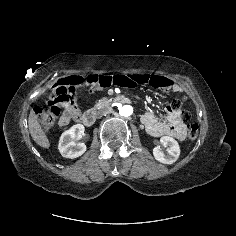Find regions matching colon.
<instances>
[{
  "label": "colon",
  "mask_w": 236,
  "mask_h": 236,
  "mask_svg": "<svg viewBox=\"0 0 236 236\" xmlns=\"http://www.w3.org/2000/svg\"><path fill=\"white\" fill-rule=\"evenodd\" d=\"M82 87L83 83L75 78L64 79L56 85L47 106L36 107L35 113L46 131L51 130L56 125L60 116L61 105L72 103L77 98L78 90ZM171 107L176 111H181L184 120H190V108L183 101L175 100ZM198 131L199 127L196 122L189 123L187 129L189 139H195Z\"/></svg>",
  "instance_id": "5ec220e1"
}]
</instances>
